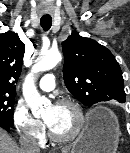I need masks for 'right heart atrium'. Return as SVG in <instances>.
<instances>
[{
    "mask_svg": "<svg viewBox=\"0 0 130 153\" xmlns=\"http://www.w3.org/2000/svg\"><path fill=\"white\" fill-rule=\"evenodd\" d=\"M13 125L21 138L43 142L45 137L44 123L35 118L23 103H18L12 114Z\"/></svg>",
    "mask_w": 130,
    "mask_h": 153,
    "instance_id": "d8ad5b80",
    "label": "right heart atrium"
}]
</instances>
